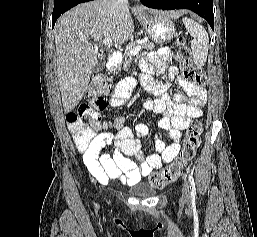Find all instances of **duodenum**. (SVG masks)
Masks as SVG:
<instances>
[{
    "instance_id": "obj_1",
    "label": "duodenum",
    "mask_w": 257,
    "mask_h": 237,
    "mask_svg": "<svg viewBox=\"0 0 257 237\" xmlns=\"http://www.w3.org/2000/svg\"><path fill=\"white\" fill-rule=\"evenodd\" d=\"M118 62H119V57L117 55L111 56L109 60V68L114 70L117 67Z\"/></svg>"
}]
</instances>
